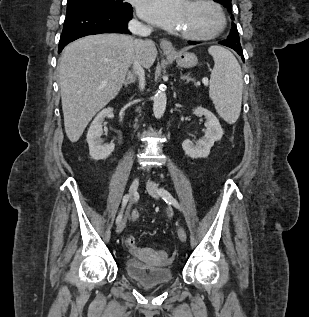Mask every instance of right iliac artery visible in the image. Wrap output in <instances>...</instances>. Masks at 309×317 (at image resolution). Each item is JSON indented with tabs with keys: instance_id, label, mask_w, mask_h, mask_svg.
<instances>
[{
	"instance_id": "1",
	"label": "right iliac artery",
	"mask_w": 309,
	"mask_h": 317,
	"mask_svg": "<svg viewBox=\"0 0 309 317\" xmlns=\"http://www.w3.org/2000/svg\"><path fill=\"white\" fill-rule=\"evenodd\" d=\"M128 200H129V195L126 194V195L123 197L122 209H121L120 213L118 214V216H117V218H116V223H117V224L122 220L123 209H124V207L126 206Z\"/></svg>"
}]
</instances>
